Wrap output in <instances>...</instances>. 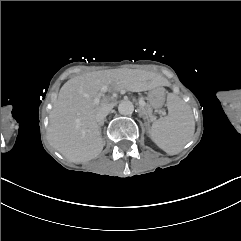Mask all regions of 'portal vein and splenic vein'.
<instances>
[{
    "label": "portal vein and splenic vein",
    "instance_id": "18ae733b",
    "mask_svg": "<svg viewBox=\"0 0 241 241\" xmlns=\"http://www.w3.org/2000/svg\"><path fill=\"white\" fill-rule=\"evenodd\" d=\"M140 104H141L143 107H146V106H147V103H146L144 100H141V101H140Z\"/></svg>",
    "mask_w": 241,
    "mask_h": 241
}]
</instances>
